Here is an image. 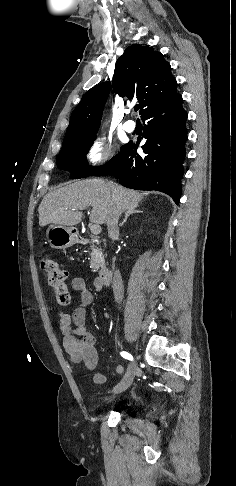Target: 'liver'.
Listing matches in <instances>:
<instances>
[{
    "instance_id": "6515ba94",
    "label": "liver",
    "mask_w": 236,
    "mask_h": 486,
    "mask_svg": "<svg viewBox=\"0 0 236 486\" xmlns=\"http://www.w3.org/2000/svg\"><path fill=\"white\" fill-rule=\"evenodd\" d=\"M144 196L143 193L99 178L76 181L44 196L38 209L39 225H77L83 217L78 210L89 206L92 207L90 222L107 223L114 206H118L120 211H127L137 207Z\"/></svg>"
}]
</instances>
